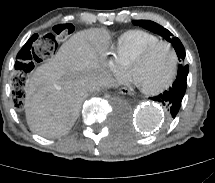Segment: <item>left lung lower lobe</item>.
<instances>
[{
  "label": "left lung lower lobe",
  "mask_w": 215,
  "mask_h": 183,
  "mask_svg": "<svg viewBox=\"0 0 215 183\" xmlns=\"http://www.w3.org/2000/svg\"><path fill=\"white\" fill-rule=\"evenodd\" d=\"M188 71L178 72L173 85L163 93L151 98L167 108V118L171 120L178 114L187 87Z\"/></svg>",
  "instance_id": "0a47b994"
}]
</instances>
